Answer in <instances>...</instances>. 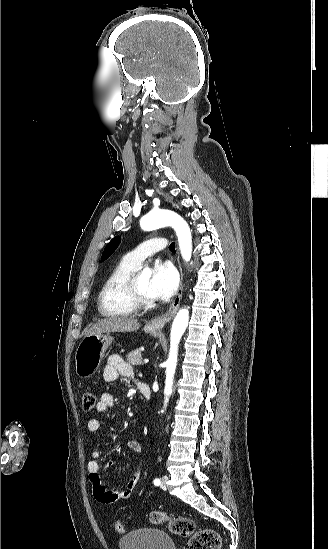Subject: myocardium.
Instances as JSON below:
<instances>
[{
    "label": "myocardium",
    "mask_w": 328,
    "mask_h": 549,
    "mask_svg": "<svg viewBox=\"0 0 328 549\" xmlns=\"http://www.w3.org/2000/svg\"><path fill=\"white\" fill-rule=\"evenodd\" d=\"M152 263L145 262L140 263L131 275H129L122 287V297L125 300L126 304L121 305L120 308L126 311L133 313H140L150 309L153 305L151 299L143 297L137 288V279L138 276L149 267Z\"/></svg>",
    "instance_id": "myocardium-1"
}]
</instances>
